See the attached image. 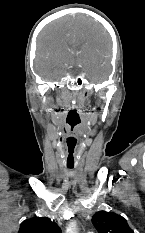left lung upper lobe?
Returning a JSON list of instances; mask_svg holds the SVG:
<instances>
[{
	"label": "left lung upper lobe",
	"mask_w": 145,
	"mask_h": 233,
	"mask_svg": "<svg viewBox=\"0 0 145 233\" xmlns=\"http://www.w3.org/2000/svg\"><path fill=\"white\" fill-rule=\"evenodd\" d=\"M92 223L99 233H134L126 219L112 212L95 213Z\"/></svg>",
	"instance_id": "obj_1"
}]
</instances>
